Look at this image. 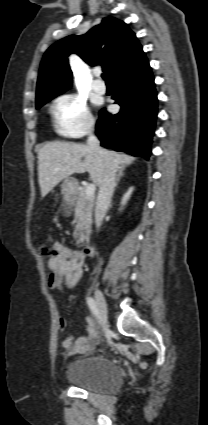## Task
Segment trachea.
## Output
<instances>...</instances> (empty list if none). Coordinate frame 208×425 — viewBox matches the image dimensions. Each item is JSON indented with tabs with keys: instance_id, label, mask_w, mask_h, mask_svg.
<instances>
[{
	"instance_id": "1",
	"label": "trachea",
	"mask_w": 208,
	"mask_h": 425,
	"mask_svg": "<svg viewBox=\"0 0 208 425\" xmlns=\"http://www.w3.org/2000/svg\"><path fill=\"white\" fill-rule=\"evenodd\" d=\"M101 76H102L103 80H105L106 82H110V80L107 78L106 74L103 73Z\"/></svg>"
}]
</instances>
